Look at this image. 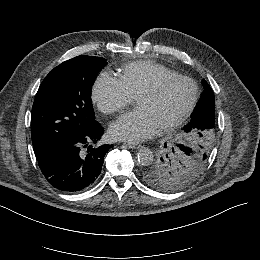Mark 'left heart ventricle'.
<instances>
[{"label": "left heart ventricle", "instance_id": "1", "mask_svg": "<svg viewBox=\"0 0 260 260\" xmlns=\"http://www.w3.org/2000/svg\"><path fill=\"white\" fill-rule=\"evenodd\" d=\"M159 78H155L154 85ZM194 95L193 87L183 80H173L162 87L155 95H145L135 100L137 108L145 109L155 126L169 123L188 108Z\"/></svg>", "mask_w": 260, "mask_h": 260}]
</instances>
